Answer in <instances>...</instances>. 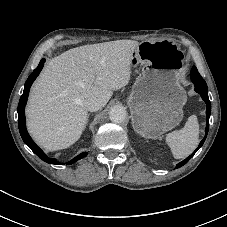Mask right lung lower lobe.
<instances>
[{"label": "right lung lower lobe", "mask_w": 227, "mask_h": 227, "mask_svg": "<svg viewBox=\"0 0 227 227\" xmlns=\"http://www.w3.org/2000/svg\"><path fill=\"white\" fill-rule=\"evenodd\" d=\"M45 59L43 58L38 67L31 73V75L28 77L27 81L25 82L24 86V91L23 94L20 98L19 104H18V126H19V131L20 135L24 141V143L43 161L49 163V164H60L59 162L56 161L54 158H49L32 140L30 135L27 132L26 129V120H25V105L27 102L28 94L30 87L36 77L39 75L40 71L42 70L44 66ZM87 155V152H83L76 156L74 159L68 162V164H72L76 162L77 160H80L81 158L85 157Z\"/></svg>", "instance_id": "right-lung-lower-lobe-1"}]
</instances>
